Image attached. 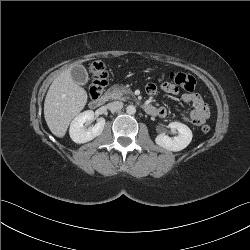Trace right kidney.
Listing matches in <instances>:
<instances>
[{
    "mask_svg": "<svg viewBox=\"0 0 250 250\" xmlns=\"http://www.w3.org/2000/svg\"><path fill=\"white\" fill-rule=\"evenodd\" d=\"M93 119L94 112L92 110L84 111L73 119L70 124L69 134L75 143H86L102 134L106 123L102 117L97 119V123L94 126L89 127L87 130L84 128V124Z\"/></svg>",
    "mask_w": 250,
    "mask_h": 250,
    "instance_id": "ca27d5eb",
    "label": "right kidney"
}]
</instances>
